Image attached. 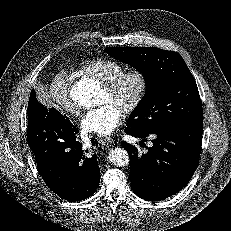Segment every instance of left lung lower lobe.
Segmentation results:
<instances>
[{
	"label": "left lung lower lobe",
	"mask_w": 231,
	"mask_h": 231,
	"mask_svg": "<svg viewBox=\"0 0 231 231\" xmlns=\"http://www.w3.org/2000/svg\"><path fill=\"white\" fill-rule=\"evenodd\" d=\"M125 132L142 141L149 135L156 137L142 155L133 145L121 144L130 155V182L137 196L147 201L163 200L189 182L198 166L203 122L172 130L136 132L125 128Z\"/></svg>",
	"instance_id": "obj_1"
}]
</instances>
